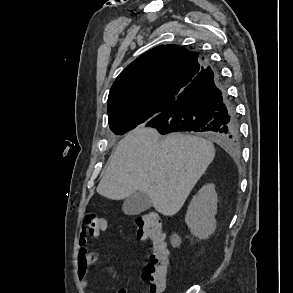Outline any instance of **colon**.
Here are the masks:
<instances>
[{
  "label": "colon",
  "mask_w": 293,
  "mask_h": 293,
  "mask_svg": "<svg viewBox=\"0 0 293 293\" xmlns=\"http://www.w3.org/2000/svg\"><path fill=\"white\" fill-rule=\"evenodd\" d=\"M83 227L89 237H98L107 227L106 219L96 212L84 215ZM135 235L138 239L150 241L149 259L142 276L148 284L149 293H163L169 273V251L162 230L161 217L150 212L136 218Z\"/></svg>",
  "instance_id": "colon-1"
}]
</instances>
